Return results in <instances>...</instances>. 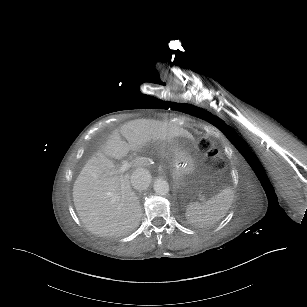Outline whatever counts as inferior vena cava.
Wrapping results in <instances>:
<instances>
[{
  "label": "inferior vena cava",
  "instance_id": "602c4592",
  "mask_svg": "<svg viewBox=\"0 0 307 307\" xmlns=\"http://www.w3.org/2000/svg\"><path fill=\"white\" fill-rule=\"evenodd\" d=\"M151 179V174L147 169L137 168L133 171L130 177V182L134 189L145 190L149 187Z\"/></svg>",
  "mask_w": 307,
  "mask_h": 307
}]
</instances>
